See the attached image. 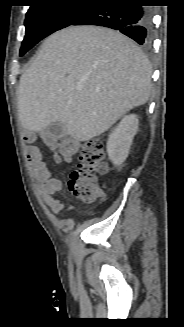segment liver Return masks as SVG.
<instances>
[{
  "mask_svg": "<svg viewBox=\"0 0 184 327\" xmlns=\"http://www.w3.org/2000/svg\"><path fill=\"white\" fill-rule=\"evenodd\" d=\"M151 75L141 49L120 32L68 27L43 43L20 78L21 124L40 132L60 122L75 140L88 141L148 101Z\"/></svg>",
  "mask_w": 184,
  "mask_h": 327,
  "instance_id": "6515ba94",
  "label": "liver"
}]
</instances>
